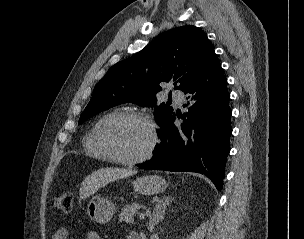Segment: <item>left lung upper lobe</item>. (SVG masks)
I'll return each mask as SVG.
<instances>
[{"mask_svg":"<svg viewBox=\"0 0 304 239\" xmlns=\"http://www.w3.org/2000/svg\"><path fill=\"white\" fill-rule=\"evenodd\" d=\"M207 36L195 26H181L160 34L143 50L112 66L95 86L78 124L121 103L155 106L163 82L186 91L215 54ZM178 85V86H177ZM165 103L155 106L162 127L173 114Z\"/></svg>","mask_w":304,"mask_h":239,"instance_id":"5c2ea615","label":"left lung upper lobe"}]
</instances>
